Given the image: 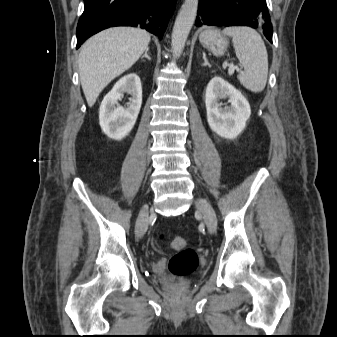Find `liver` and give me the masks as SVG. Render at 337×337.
Masks as SVG:
<instances>
[{"mask_svg":"<svg viewBox=\"0 0 337 337\" xmlns=\"http://www.w3.org/2000/svg\"><path fill=\"white\" fill-rule=\"evenodd\" d=\"M150 34L133 27L106 29L89 39L78 60L81 86L89 107L101 91L129 69L150 43Z\"/></svg>","mask_w":337,"mask_h":337,"instance_id":"6515ba94","label":"liver"}]
</instances>
